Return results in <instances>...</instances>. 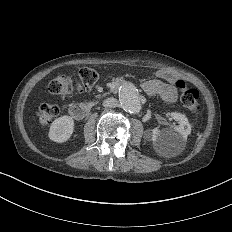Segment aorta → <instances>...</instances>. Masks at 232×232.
<instances>
[{"instance_id": "1", "label": "aorta", "mask_w": 232, "mask_h": 232, "mask_svg": "<svg viewBox=\"0 0 232 232\" xmlns=\"http://www.w3.org/2000/svg\"><path fill=\"white\" fill-rule=\"evenodd\" d=\"M119 100L123 109L129 113H137L141 110L138 90L132 83L126 82L120 87Z\"/></svg>"}]
</instances>
